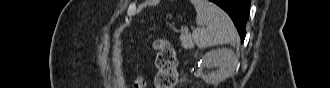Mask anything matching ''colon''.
Wrapping results in <instances>:
<instances>
[{
  "label": "colon",
  "instance_id": "obj_1",
  "mask_svg": "<svg viewBox=\"0 0 330 88\" xmlns=\"http://www.w3.org/2000/svg\"><path fill=\"white\" fill-rule=\"evenodd\" d=\"M153 48L157 51L155 79L156 88H174L177 81L176 60L174 50L164 38H158L153 42ZM145 82L141 76H137L134 88H144Z\"/></svg>",
  "mask_w": 330,
  "mask_h": 88
}]
</instances>
